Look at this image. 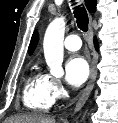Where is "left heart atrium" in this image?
Wrapping results in <instances>:
<instances>
[{
    "label": "left heart atrium",
    "mask_w": 118,
    "mask_h": 123,
    "mask_svg": "<svg viewBox=\"0 0 118 123\" xmlns=\"http://www.w3.org/2000/svg\"><path fill=\"white\" fill-rule=\"evenodd\" d=\"M65 73L66 81L73 87H79L89 76V64L83 57L73 56L65 65Z\"/></svg>",
    "instance_id": "39dd6f15"
}]
</instances>
